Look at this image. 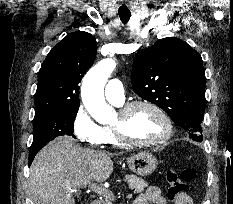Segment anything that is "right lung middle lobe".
<instances>
[{"instance_id": "right-lung-middle-lobe-1", "label": "right lung middle lobe", "mask_w": 233, "mask_h": 204, "mask_svg": "<svg viewBox=\"0 0 233 204\" xmlns=\"http://www.w3.org/2000/svg\"><path fill=\"white\" fill-rule=\"evenodd\" d=\"M78 108V106L56 108L35 113L33 120L34 138L31 148L44 147L46 143L58 136L72 135Z\"/></svg>"}]
</instances>
